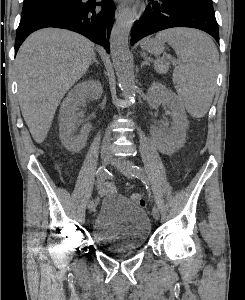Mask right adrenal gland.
<instances>
[{
	"label": "right adrenal gland",
	"mask_w": 245,
	"mask_h": 300,
	"mask_svg": "<svg viewBox=\"0 0 245 300\" xmlns=\"http://www.w3.org/2000/svg\"><path fill=\"white\" fill-rule=\"evenodd\" d=\"M96 63L99 64L98 60L96 59V57H94L93 61L91 62V64Z\"/></svg>",
	"instance_id": "right-adrenal-gland-1"
}]
</instances>
